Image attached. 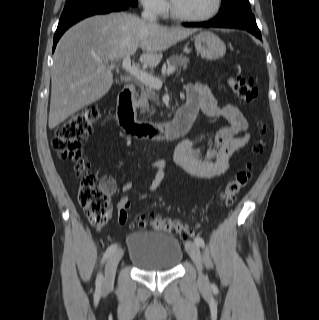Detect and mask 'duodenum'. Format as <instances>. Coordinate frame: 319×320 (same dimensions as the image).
<instances>
[{"label": "duodenum", "mask_w": 319, "mask_h": 320, "mask_svg": "<svg viewBox=\"0 0 319 320\" xmlns=\"http://www.w3.org/2000/svg\"><path fill=\"white\" fill-rule=\"evenodd\" d=\"M135 88L126 85L118 96L117 119L126 133L136 139L171 140L186 133L191 127L196 111L182 106L176 112L172 121L161 124L140 122L135 119L133 99Z\"/></svg>", "instance_id": "1"}]
</instances>
